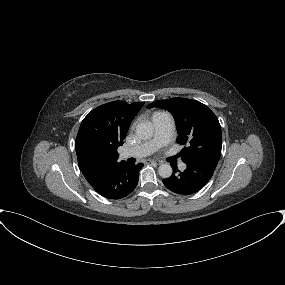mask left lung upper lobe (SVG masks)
<instances>
[{
    "label": "left lung upper lobe",
    "mask_w": 285,
    "mask_h": 285,
    "mask_svg": "<svg viewBox=\"0 0 285 285\" xmlns=\"http://www.w3.org/2000/svg\"><path fill=\"white\" fill-rule=\"evenodd\" d=\"M168 110L174 117L179 134L176 141L186 145L180 152L184 163L199 158L220 159L221 126L215 114L199 101L171 98L152 102L147 108Z\"/></svg>",
    "instance_id": "5c2ea615"
}]
</instances>
